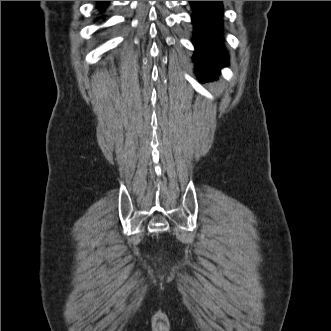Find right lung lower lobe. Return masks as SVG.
I'll list each match as a JSON object with an SVG mask.
<instances>
[{
    "instance_id": "1",
    "label": "right lung lower lobe",
    "mask_w": 331,
    "mask_h": 331,
    "mask_svg": "<svg viewBox=\"0 0 331 331\" xmlns=\"http://www.w3.org/2000/svg\"><path fill=\"white\" fill-rule=\"evenodd\" d=\"M108 1H99V7L102 9L106 6Z\"/></svg>"
}]
</instances>
